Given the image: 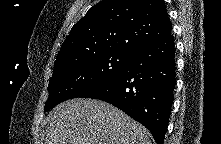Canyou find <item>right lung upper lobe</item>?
<instances>
[{"label": "right lung upper lobe", "mask_w": 221, "mask_h": 144, "mask_svg": "<svg viewBox=\"0 0 221 144\" xmlns=\"http://www.w3.org/2000/svg\"><path fill=\"white\" fill-rule=\"evenodd\" d=\"M171 29L163 0H103L72 27L54 68L109 51L133 55Z\"/></svg>", "instance_id": "cb5924a9"}]
</instances>
